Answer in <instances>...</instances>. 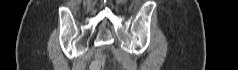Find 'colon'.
<instances>
[{
  "mask_svg": "<svg viewBox=\"0 0 238 70\" xmlns=\"http://www.w3.org/2000/svg\"><path fill=\"white\" fill-rule=\"evenodd\" d=\"M105 66V58L102 55H97L90 65V70H103Z\"/></svg>",
  "mask_w": 238,
  "mask_h": 70,
  "instance_id": "colon-1",
  "label": "colon"
}]
</instances>
